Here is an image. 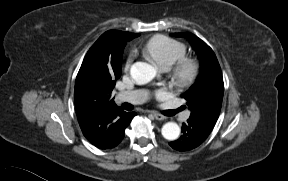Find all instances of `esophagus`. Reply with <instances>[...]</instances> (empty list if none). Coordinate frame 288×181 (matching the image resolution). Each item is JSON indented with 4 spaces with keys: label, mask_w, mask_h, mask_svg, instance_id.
Masks as SVG:
<instances>
[{
    "label": "esophagus",
    "mask_w": 288,
    "mask_h": 181,
    "mask_svg": "<svg viewBox=\"0 0 288 181\" xmlns=\"http://www.w3.org/2000/svg\"><path fill=\"white\" fill-rule=\"evenodd\" d=\"M152 114H153L154 118L157 120H165L166 119V117L160 113L152 112Z\"/></svg>",
    "instance_id": "34e87169"
}]
</instances>
